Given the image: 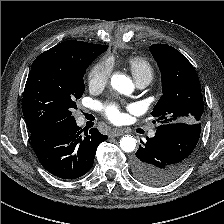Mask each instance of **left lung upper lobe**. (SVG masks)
I'll use <instances>...</instances> for the list:
<instances>
[{"label": "left lung upper lobe", "mask_w": 224, "mask_h": 224, "mask_svg": "<svg viewBox=\"0 0 224 224\" xmlns=\"http://www.w3.org/2000/svg\"><path fill=\"white\" fill-rule=\"evenodd\" d=\"M149 49L161 71L163 92L152 116L162 124L200 123L204 103L199 78L192 64L166 44H153Z\"/></svg>", "instance_id": "obj_1"}]
</instances>
